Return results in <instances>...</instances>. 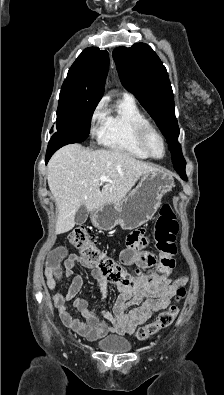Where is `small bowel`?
Masks as SVG:
<instances>
[{"label": "small bowel", "instance_id": "c3829d8e", "mask_svg": "<svg viewBox=\"0 0 224 395\" xmlns=\"http://www.w3.org/2000/svg\"><path fill=\"white\" fill-rule=\"evenodd\" d=\"M147 239L143 230L132 232L127 238V247L120 255L126 266L138 265L144 268L154 264V257L144 247ZM80 264L89 269L96 281V290L103 299L106 297L110 278L102 274L94 266L88 264L82 256L70 254L67 249L59 247L50 256V264L44 270L47 287L52 291V301L57 308L62 322L78 335L95 341L108 334L130 335L155 312L165 309L177 288L186 282V277L172 278L150 273L135 286H124L117 283L118 298L112 310H102L100 316L89 308L86 299L79 297L83 285V276L74 275L76 266ZM72 277L66 293L59 291L63 276ZM73 301L74 307L81 314L82 320L71 316L67 303Z\"/></svg>", "mask_w": 224, "mask_h": 395}]
</instances>
